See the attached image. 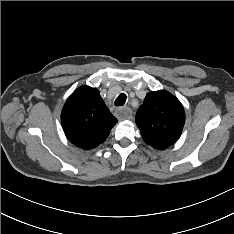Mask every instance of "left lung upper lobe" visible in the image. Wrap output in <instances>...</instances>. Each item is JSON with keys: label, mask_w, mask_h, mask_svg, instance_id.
<instances>
[{"label": "left lung upper lobe", "mask_w": 234, "mask_h": 234, "mask_svg": "<svg viewBox=\"0 0 234 234\" xmlns=\"http://www.w3.org/2000/svg\"><path fill=\"white\" fill-rule=\"evenodd\" d=\"M144 141L154 147L166 141L175 143L185 123V112L180 101L165 90L146 95L135 117Z\"/></svg>", "instance_id": "1"}]
</instances>
